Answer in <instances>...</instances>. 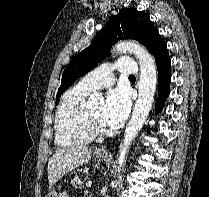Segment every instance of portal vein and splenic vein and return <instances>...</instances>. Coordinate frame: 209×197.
Instances as JSON below:
<instances>
[{"instance_id": "1", "label": "portal vein and splenic vein", "mask_w": 209, "mask_h": 197, "mask_svg": "<svg viewBox=\"0 0 209 197\" xmlns=\"http://www.w3.org/2000/svg\"><path fill=\"white\" fill-rule=\"evenodd\" d=\"M91 185H92V182H91V181H88V182L86 183V186H87V187H91Z\"/></svg>"}]
</instances>
